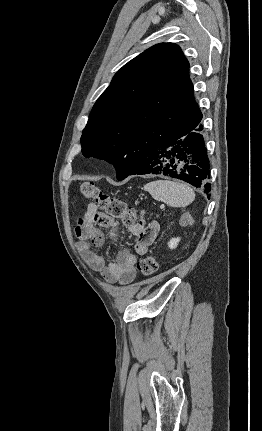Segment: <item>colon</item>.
I'll return each instance as SVG.
<instances>
[{
	"instance_id": "1",
	"label": "colon",
	"mask_w": 262,
	"mask_h": 431,
	"mask_svg": "<svg viewBox=\"0 0 262 431\" xmlns=\"http://www.w3.org/2000/svg\"><path fill=\"white\" fill-rule=\"evenodd\" d=\"M84 198L93 201L107 216L122 220L126 225L141 223V214L128 207L121 199L111 196L93 183H83L80 188ZM139 272L144 276H151L158 270L157 258L146 255L137 264Z\"/></svg>"
}]
</instances>
